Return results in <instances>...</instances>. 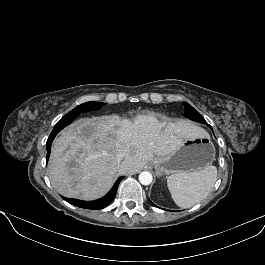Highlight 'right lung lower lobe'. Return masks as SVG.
<instances>
[{
    "label": "right lung lower lobe",
    "mask_w": 265,
    "mask_h": 265,
    "mask_svg": "<svg viewBox=\"0 0 265 265\" xmlns=\"http://www.w3.org/2000/svg\"><path fill=\"white\" fill-rule=\"evenodd\" d=\"M70 124V123H69ZM67 124V125H69ZM65 125V126H67ZM64 125L62 126H55L46 142V146H47V156H46V162L49 159L50 156V150H51V144L52 141L54 140L55 136L59 133V131L61 129H63L65 127ZM124 177L121 176L117 179V181L115 182V184L113 185V187L111 188V190L102 198L95 200V201H82V200H78V199H71V198H66L63 197V199L65 201H67L68 203L78 206L80 208H85V209H102L105 208L114 198L119 183L122 181Z\"/></svg>",
    "instance_id": "98d812e1"
}]
</instances>
